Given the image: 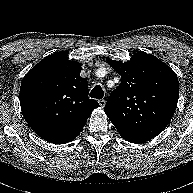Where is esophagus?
<instances>
[{
  "label": "esophagus",
  "instance_id": "esophagus-1",
  "mask_svg": "<svg viewBox=\"0 0 193 193\" xmlns=\"http://www.w3.org/2000/svg\"><path fill=\"white\" fill-rule=\"evenodd\" d=\"M98 103H99L100 107L103 108L105 106V104H106V100L105 99H100L98 101Z\"/></svg>",
  "mask_w": 193,
  "mask_h": 193
}]
</instances>
